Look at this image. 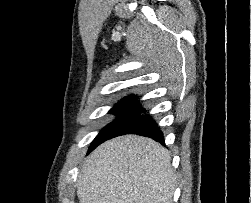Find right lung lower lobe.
Masks as SVG:
<instances>
[{
    "instance_id": "right-lung-lower-lobe-1",
    "label": "right lung lower lobe",
    "mask_w": 251,
    "mask_h": 203,
    "mask_svg": "<svg viewBox=\"0 0 251 203\" xmlns=\"http://www.w3.org/2000/svg\"><path fill=\"white\" fill-rule=\"evenodd\" d=\"M136 134L140 136L150 137L164 145L163 133L158 128L155 121L150 115H138L137 117L120 126L108 139L125 135Z\"/></svg>"
}]
</instances>
